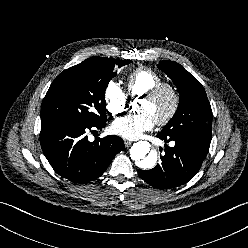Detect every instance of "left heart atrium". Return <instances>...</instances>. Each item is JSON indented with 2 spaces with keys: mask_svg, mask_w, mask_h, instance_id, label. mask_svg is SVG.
<instances>
[{
  "mask_svg": "<svg viewBox=\"0 0 248 248\" xmlns=\"http://www.w3.org/2000/svg\"><path fill=\"white\" fill-rule=\"evenodd\" d=\"M154 124L155 121L150 114L141 112L137 115L118 118L110 128L115 135L135 140L140 138L144 132L151 130Z\"/></svg>",
  "mask_w": 248,
  "mask_h": 248,
  "instance_id": "1",
  "label": "left heart atrium"
}]
</instances>
